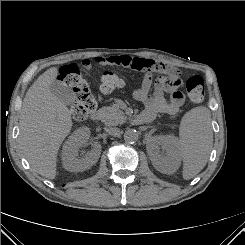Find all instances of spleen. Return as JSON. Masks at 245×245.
I'll return each instance as SVG.
<instances>
[{"mask_svg":"<svg viewBox=\"0 0 245 245\" xmlns=\"http://www.w3.org/2000/svg\"><path fill=\"white\" fill-rule=\"evenodd\" d=\"M213 144L211 115L206 107H196L182 118L179 148L183 159V178L189 180L206 165Z\"/></svg>","mask_w":245,"mask_h":245,"instance_id":"obj_1","label":"spleen"}]
</instances>
